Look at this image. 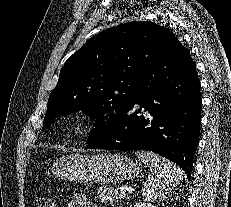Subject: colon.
I'll use <instances>...</instances> for the list:
<instances>
[{
    "label": "colon",
    "mask_w": 231,
    "mask_h": 207,
    "mask_svg": "<svg viewBox=\"0 0 231 207\" xmlns=\"http://www.w3.org/2000/svg\"><path fill=\"white\" fill-rule=\"evenodd\" d=\"M39 207H56L55 201L50 195H42L38 201Z\"/></svg>",
    "instance_id": "1"
}]
</instances>
